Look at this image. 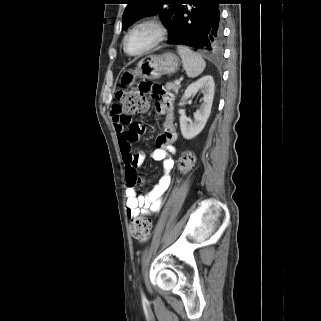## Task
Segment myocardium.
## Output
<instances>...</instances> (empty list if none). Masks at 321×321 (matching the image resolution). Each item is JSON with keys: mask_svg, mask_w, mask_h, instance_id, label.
I'll use <instances>...</instances> for the list:
<instances>
[{"mask_svg": "<svg viewBox=\"0 0 321 321\" xmlns=\"http://www.w3.org/2000/svg\"><path fill=\"white\" fill-rule=\"evenodd\" d=\"M142 27L151 28L154 32V39L147 47H145L141 51L137 53H130L127 49V39L131 33H133L135 30ZM166 37H167V28L160 19L155 17L145 18L143 20L138 21L127 30L122 41L123 50L128 56H131V57L142 56L150 52L154 48H156L158 45H160L166 39Z\"/></svg>", "mask_w": 321, "mask_h": 321, "instance_id": "myocardium-1", "label": "myocardium"}]
</instances>
